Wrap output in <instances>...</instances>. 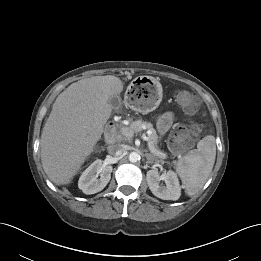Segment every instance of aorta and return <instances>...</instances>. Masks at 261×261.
I'll return each mask as SVG.
<instances>
[{
  "label": "aorta",
  "mask_w": 261,
  "mask_h": 261,
  "mask_svg": "<svg viewBox=\"0 0 261 261\" xmlns=\"http://www.w3.org/2000/svg\"><path fill=\"white\" fill-rule=\"evenodd\" d=\"M138 160H140V155L137 152H131L129 154V161L130 162L135 163Z\"/></svg>",
  "instance_id": "aorta-1"
}]
</instances>
